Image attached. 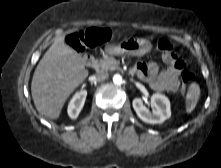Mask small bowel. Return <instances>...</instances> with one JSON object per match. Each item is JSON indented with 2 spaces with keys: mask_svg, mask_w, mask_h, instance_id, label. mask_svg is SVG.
<instances>
[{
  "mask_svg": "<svg viewBox=\"0 0 221 168\" xmlns=\"http://www.w3.org/2000/svg\"><path fill=\"white\" fill-rule=\"evenodd\" d=\"M163 60L169 66L162 71L159 70L157 63L152 61L136 64L133 71L147 81L152 89L175 92L180 85L178 77L185 73V64L173 52L163 54Z\"/></svg>",
  "mask_w": 221,
  "mask_h": 168,
  "instance_id": "small-bowel-1",
  "label": "small bowel"
}]
</instances>
